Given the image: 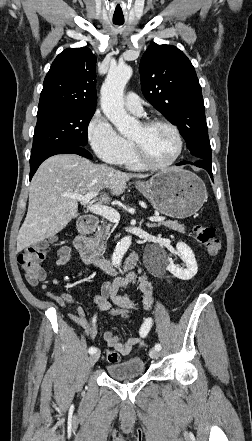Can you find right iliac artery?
Listing matches in <instances>:
<instances>
[{
  "mask_svg": "<svg viewBox=\"0 0 252 441\" xmlns=\"http://www.w3.org/2000/svg\"><path fill=\"white\" fill-rule=\"evenodd\" d=\"M95 321H96V318L94 317L93 318V322L95 323ZM95 352H97V348L96 347L92 346V347L89 348V353L90 354H94Z\"/></svg>",
  "mask_w": 252,
  "mask_h": 441,
  "instance_id": "82829eb1",
  "label": "right iliac artery"
}]
</instances>
